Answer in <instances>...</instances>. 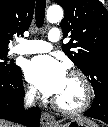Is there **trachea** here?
<instances>
[{"label":"trachea","instance_id":"3493384b","mask_svg":"<svg viewBox=\"0 0 108 127\" xmlns=\"http://www.w3.org/2000/svg\"><path fill=\"white\" fill-rule=\"evenodd\" d=\"M46 0H37L35 8L36 26L42 27L45 19Z\"/></svg>","mask_w":108,"mask_h":127}]
</instances>
